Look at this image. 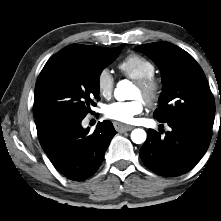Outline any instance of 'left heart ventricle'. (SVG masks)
Instances as JSON below:
<instances>
[{
	"label": "left heart ventricle",
	"mask_w": 221,
	"mask_h": 221,
	"mask_svg": "<svg viewBox=\"0 0 221 221\" xmlns=\"http://www.w3.org/2000/svg\"><path fill=\"white\" fill-rule=\"evenodd\" d=\"M141 97L140 90L135 86L134 91H133V98H139Z\"/></svg>",
	"instance_id": "1"
}]
</instances>
